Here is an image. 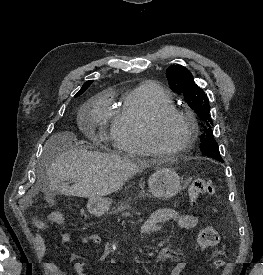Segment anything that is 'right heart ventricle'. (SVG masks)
Segmentation results:
<instances>
[{
    "mask_svg": "<svg viewBox=\"0 0 263 275\" xmlns=\"http://www.w3.org/2000/svg\"><path fill=\"white\" fill-rule=\"evenodd\" d=\"M172 106L169 95L157 84L142 83L124 93L120 107L111 114V139L116 149L134 157L152 153L143 127L155 110Z\"/></svg>",
    "mask_w": 263,
    "mask_h": 275,
    "instance_id": "right-heart-ventricle-1",
    "label": "right heart ventricle"
}]
</instances>
